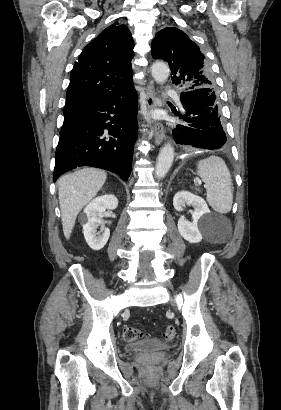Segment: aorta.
Returning a JSON list of instances; mask_svg holds the SVG:
<instances>
[{
    "instance_id": "762f6f07",
    "label": "aorta",
    "mask_w": 281,
    "mask_h": 410,
    "mask_svg": "<svg viewBox=\"0 0 281 410\" xmlns=\"http://www.w3.org/2000/svg\"><path fill=\"white\" fill-rule=\"evenodd\" d=\"M151 73L157 83H164L169 77V67L164 62H155ZM174 160V148L170 142L164 144L157 158L155 175L161 179L166 176Z\"/></svg>"
}]
</instances>
